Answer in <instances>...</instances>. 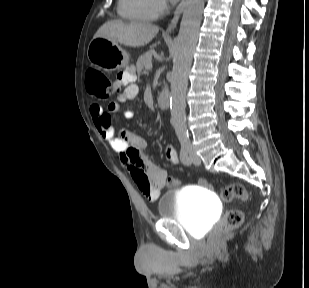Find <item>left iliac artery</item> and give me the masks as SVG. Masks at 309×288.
Wrapping results in <instances>:
<instances>
[{"label":"left iliac artery","instance_id":"44dca946","mask_svg":"<svg viewBox=\"0 0 309 288\" xmlns=\"http://www.w3.org/2000/svg\"><path fill=\"white\" fill-rule=\"evenodd\" d=\"M180 143H181V150H180V159L182 161L183 164H190L191 161L188 157V153H189V150H190V140L189 138H181L180 139Z\"/></svg>","mask_w":309,"mask_h":288}]
</instances>
